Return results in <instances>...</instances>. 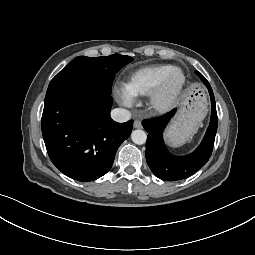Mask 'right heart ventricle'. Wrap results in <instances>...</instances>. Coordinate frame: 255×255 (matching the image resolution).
I'll return each mask as SVG.
<instances>
[{"instance_id": "obj_1", "label": "right heart ventricle", "mask_w": 255, "mask_h": 255, "mask_svg": "<svg viewBox=\"0 0 255 255\" xmlns=\"http://www.w3.org/2000/svg\"><path fill=\"white\" fill-rule=\"evenodd\" d=\"M175 69L173 65H151L136 70L129 78L128 88L134 95L152 93Z\"/></svg>"}]
</instances>
